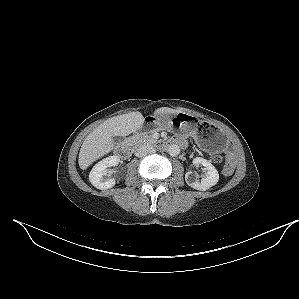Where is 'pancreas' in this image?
<instances>
[{
	"label": "pancreas",
	"instance_id": "1",
	"mask_svg": "<svg viewBox=\"0 0 299 299\" xmlns=\"http://www.w3.org/2000/svg\"><path fill=\"white\" fill-rule=\"evenodd\" d=\"M128 141L134 146H138L141 144H152L156 142L152 137V132L144 134H134L128 139Z\"/></svg>",
	"mask_w": 299,
	"mask_h": 299
}]
</instances>
